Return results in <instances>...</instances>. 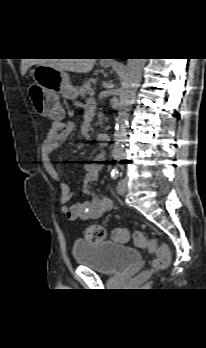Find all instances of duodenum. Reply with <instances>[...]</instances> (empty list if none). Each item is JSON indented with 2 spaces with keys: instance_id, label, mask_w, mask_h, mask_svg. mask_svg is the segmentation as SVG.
Listing matches in <instances>:
<instances>
[{
  "instance_id": "410a0bca",
  "label": "duodenum",
  "mask_w": 206,
  "mask_h": 348,
  "mask_svg": "<svg viewBox=\"0 0 206 348\" xmlns=\"http://www.w3.org/2000/svg\"><path fill=\"white\" fill-rule=\"evenodd\" d=\"M110 139V134L108 132H101L97 136L99 142H106Z\"/></svg>"
}]
</instances>
